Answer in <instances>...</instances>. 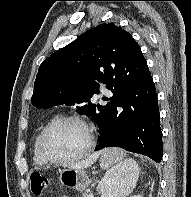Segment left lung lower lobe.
Instances as JSON below:
<instances>
[{"label":"left lung lower lobe","mask_w":191,"mask_h":197,"mask_svg":"<svg viewBox=\"0 0 191 197\" xmlns=\"http://www.w3.org/2000/svg\"><path fill=\"white\" fill-rule=\"evenodd\" d=\"M125 71L116 79L113 97L93 121L99 127V145L121 147L146 155L156 162L162 159V131L155 85L148 70Z\"/></svg>","instance_id":"left-lung-lower-lobe-1"}]
</instances>
